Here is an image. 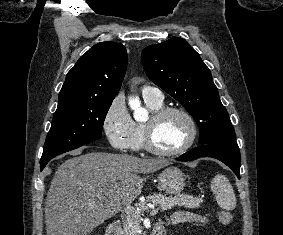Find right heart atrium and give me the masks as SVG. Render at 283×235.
<instances>
[{
  "instance_id": "obj_1",
  "label": "right heart atrium",
  "mask_w": 283,
  "mask_h": 235,
  "mask_svg": "<svg viewBox=\"0 0 283 235\" xmlns=\"http://www.w3.org/2000/svg\"><path fill=\"white\" fill-rule=\"evenodd\" d=\"M103 130L114 148L118 150L130 148L134 121L121 96L115 97L109 104L103 118Z\"/></svg>"
}]
</instances>
